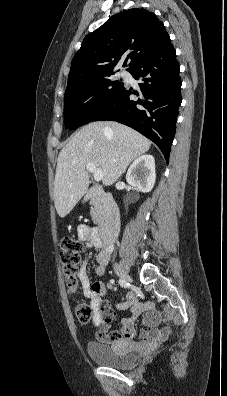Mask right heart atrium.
<instances>
[{
	"label": "right heart atrium",
	"instance_id": "d8ad5b80",
	"mask_svg": "<svg viewBox=\"0 0 227 396\" xmlns=\"http://www.w3.org/2000/svg\"><path fill=\"white\" fill-rule=\"evenodd\" d=\"M92 99V97H90L89 99H88V101H90Z\"/></svg>",
	"mask_w": 227,
	"mask_h": 396
}]
</instances>
